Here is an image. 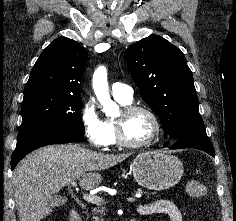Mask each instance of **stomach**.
I'll list each match as a JSON object with an SVG mask.
<instances>
[{
	"label": "stomach",
	"mask_w": 236,
	"mask_h": 221,
	"mask_svg": "<svg viewBox=\"0 0 236 221\" xmlns=\"http://www.w3.org/2000/svg\"><path fill=\"white\" fill-rule=\"evenodd\" d=\"M132 171L140 186L150 190H165L180 181L184 169L178 157L161 151H149L135 157Z\"/></svg>",
	"instance_id": "1"
}]
</instances>
